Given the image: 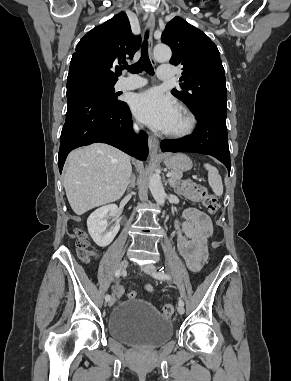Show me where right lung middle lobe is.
I'll return each mask as SVG.
<instances>
[{
    "instance_id": "right-lung-middle-lobe-1",
    "label": "right lung middle lobe",
    "mask_w": 291,
    "mask_h": 381,
    "mask_svg": "<svg viewBox=\"0 0 291 381\" xmlns=\"http://www.w3.org/2000/svg\"><path fill=\"white\" fill-rule=\"evenodd\" d=\"M72 79H78V80L91 83L93 87L96 88L102 94V96L106 98L109 102H111L112 104H117L121 102L117 100V96L113 88L115 83H102V82L94 81L87 78H81V77H75Z\"/></svg>"
}]
</instances>
